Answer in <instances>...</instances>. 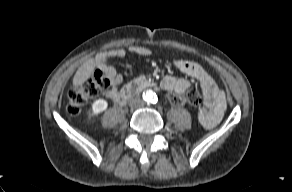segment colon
<instances>
[{
  "label": "colon",
  "instance_id": "colon-1",
  "mask_svg": "<svg viewBox=\"0 0 292 192\" xmlns=\"http://www.w3.org/2000/svg\"><path fill=\"white\" fill-rule=\"evenodd\" d=\"M110 87V80L102 70L85 80L81 85L68 92L67 111L71 115H78L82 107L92 98ZM169 100L174 105L200 106L203 102L201 93L196 88H189L182 94H170Z\"/></svg>",
  "mask_w": 292,
  "mask_h": 192
}]
</instances>
